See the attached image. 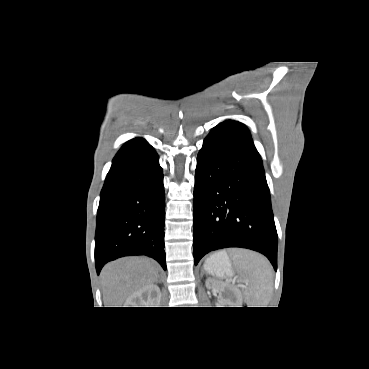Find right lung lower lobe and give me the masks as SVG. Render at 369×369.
I'll return each mask as SVG.
<instances>
[{"mask_svg": "<svg viewBox=\"0 0 369 369\" xmlns=\"http://www.w3.org/2000/svg\"><path fill=\"white\" fill-rule=\"evenodd\" d=\"M165 192L155 150L143 138L126 142L113 159L100 195L95 234L97 273L107 262L146 255L166 270Z\"/></svg>", "mask_w": 369, "mask_h": 369, "instance_id": "98d812e1", "label": "right lung lower lobe"}]
</instances>
